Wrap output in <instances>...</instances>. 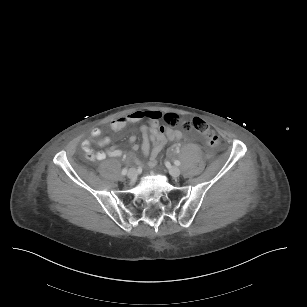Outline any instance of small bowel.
Returning <instances> with one entry per match:
<instances>
[{
	"label": "small bowel",
	"mask_w": 307,
	"mask_h": 307,
	"mask_svg": "<svg viewBox=\"0 0 307 307\" xmlns=\"http://www.w3.org/2000/svg\"><path fill=\"white\" fill-rule=\"evenodd\" d=\"M161 118V113L159 111L150 110V111H133L124 116L116 118L111 123V128L114 131H120L124 129L129 124L139 123L142 120L147 119L149 121L148 125H142L140 128V132L142 134V142L140 146L135 143L136 137L131 136L129 139V144L133 151H136L139 147L141 148L143 154L145 156H149L146 165L149 167H153L157 163V157L161 150L168 142L178 141L185 137V135L179 131L174 130L170 135H165L162 139H155L151 135V128L155 124H159V120ZM101 135V131L99 128H93L90 132V140H85L82 142L81 147L83 151L86 153V156L91 160H103L106 157H120L122 156V151L118 147H111L106 151H94L91 149V143L95 142L99 146H106L110 143V138L104 137L98 139ZM98 139V140H96ZM127 160L134 161L140 165H144V163L140 162L136 155L131 152L124 156Z\"/></svg>",
	"instance_id": "c3829d8e"
}]
</instances>
